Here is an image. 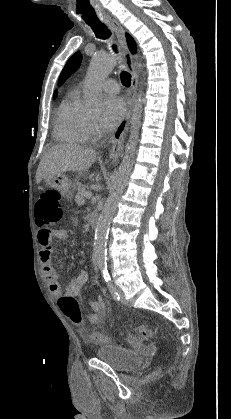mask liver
I'll return each instance as SVG.
<instances>
[{"instance_id": "obj_1", "label": "liver", "mask_w": 231, "mask_h": 419, "mask_svg": "<svg viewBox=\"0 0 231 419\" xmlns=\"http://www.w3.org/2000/svg\"><path fill=\"white\" fill-rule=\"evenodd\" d=\"M96 158L97 153L91 148L74 144L54 146L47 151L38 166L36 183L39 184L42 179L66 171H86L95 162Z\"/></svg>"}]
</instances>
